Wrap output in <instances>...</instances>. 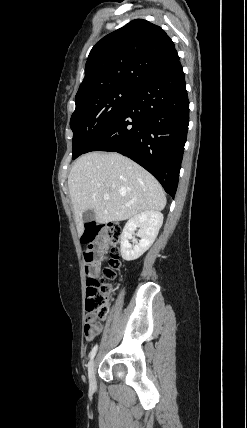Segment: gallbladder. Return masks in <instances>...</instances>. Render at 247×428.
I'll use <instances>...</instances> for the list:
<instances>
[{"instance_id":"bac80fb5","label":"gallbladder","mask_w":247,"mask_h":428,"mask_svg":"<svg viewBox=\"0 0 247 428\" xmlns=\"http://www.w3.org/2000/svg\"><path fill=\"white\" fill-rule=\"evenodd\" d=\"M95 219V212L93 210H87L83 213V221L91 222Z\"/></svg>"}]
</instances>
